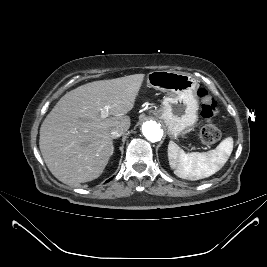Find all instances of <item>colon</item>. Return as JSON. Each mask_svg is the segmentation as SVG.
I'll return each instance as SVG.
<instances>
[{"label": "colon", "instance_id": "colon-1", "mask_svg": "<svg viewBox=\"0 0 267 267\" xmlns=\"http://www.w3.org/2000/svg\"><path fill=\"white\" fill-rule=\"evenodd\" d=\"M197 95L201 102V115L206 119V123L200 130V139L204 144L211 145L220 138V131L212 122L218 113L217 102L205 89H199Z\"/></svg>", "mask_w": 267, "mask_h": 267}]
</instances>
